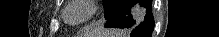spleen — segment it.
Wrapping results in <instances>:
<instances>
[{
  "label": "spleen",
  "instance_id": "spleen-1",
  "mask_svg": "<svg viewBox=\"0 0 219 37\" xmlns=\"http://www.w3.org/2000/svg\"><path fill=\"white\" fill-rule=\"evenodd\" d=\"M107 37H128L127 31L110 30Z\"/></svg>",
  "mask_w": 219,
  "mask_h": 37
}]
</instances>
